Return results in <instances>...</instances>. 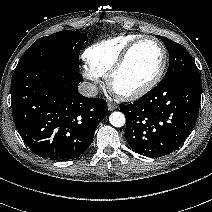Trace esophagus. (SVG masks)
Masks as SVG:
<instances>
[{
  "instance_id": "obj_1",
  "label": "esophagus",
  "mask_w": 212,
  "mask_h": 212,
  "mask_svg": "<svg viewBox=\"0 0 212 212\" xmlns=\"http://www.w3.org/2000/svg\"><path fill=\"white\" fill-rule=\"evenodd\" d=\"M117 108V106L115 105V104H113V103H108V109L110 110V111H113L114 109H116Z\"/></svg>"
}]
</instances>
